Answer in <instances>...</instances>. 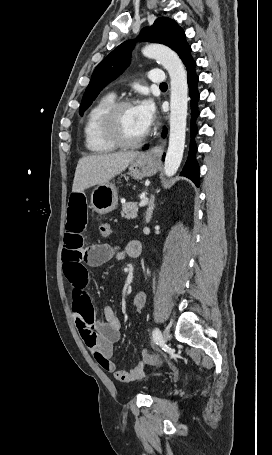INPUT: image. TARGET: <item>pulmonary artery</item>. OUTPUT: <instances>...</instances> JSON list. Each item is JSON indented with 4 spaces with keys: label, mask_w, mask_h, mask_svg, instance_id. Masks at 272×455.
Segmentation results:
<instances>
[{
    "label": "pulmonary artery",
    "mask_w": 272,
    "mask_h": 455,
    "mask_svg": "<svg viewBox=\"0 0 272 455\" xmlns=\"http://www.w3.org/2000/svg\"><path fill=\"white\" fill-rule=\"evenodd\" d=\"M148 79L157 84L164 83L165 76L164 73L159 69H153L148 72Z\"/></svg>",
    "instance_id": "e3ab8cb5"
}]
</instances>
